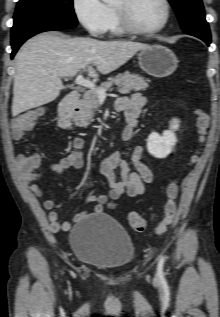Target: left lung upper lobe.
Masks as SVG:
<instances>
[{
	"instance_id": "left-lung-upper-lobe-1",
	"label": "left lung upper lobe",
	"mask_w": 220,
	"mask_h": 317,
	"mask_svg": "<svg viewBox=\"0 0 220 317\" xmlns=\"http://www.w3.org/2000/svg\"><path fill=\"white\" fill-rule=\"evenodd\" d=\"M183 30L200 29L209 31L201 0H169Z\"/></svg>"
}]
</instances>
